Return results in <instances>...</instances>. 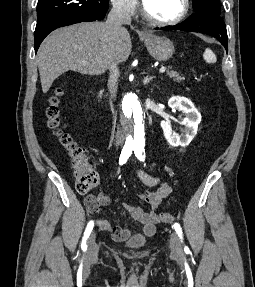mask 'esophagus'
<instances>
[{
	"label": "esophagus",
	"mask_w": 255,
	"mask_h": 287,
	"mask_svg": "<svg viewBox=\"0 0 255 287\" xmlns=\"http://www.w3.org/2000/svg\"><path fill=\"white\" fill-rule=\"evenodd\" d=\"M141 34L148 35V30L146 28L141 29Z\"/></svg>",
	"instance_id": "esophagus-1"
}]
</instances>
